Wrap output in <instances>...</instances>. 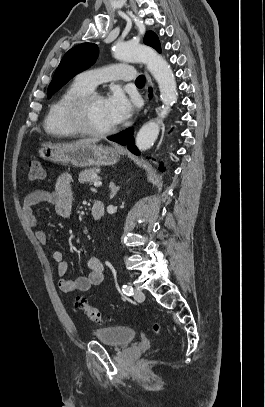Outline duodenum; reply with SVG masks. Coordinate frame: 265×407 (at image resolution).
I'll return each instance as SVG.
<instances>
[{"label":"duodenum","mask_w":265,"mask_h":407,"mask_svg":"<svg viewBox=\"0 0 265 407\" xmlns=\"http://www.w3.org/2000/svg\"><path fill=\"white\" fill-rule=\"evenodd\" d=\"M91 214L94 219L99 220L105 215V205L102 201L96 200L91 206Z\"/></svg>","instance_id":"duodenum-1"}]
</instances>
